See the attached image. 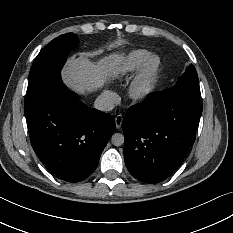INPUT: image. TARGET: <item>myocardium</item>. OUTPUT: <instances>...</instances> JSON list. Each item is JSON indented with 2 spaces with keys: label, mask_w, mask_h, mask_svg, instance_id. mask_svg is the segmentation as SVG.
<instances>
[{
  "label": "myocardium",
  "mask_w": 233,
  "mask_h": 233,
  "mask_svg": "<svg viewBox=\"0 0 233 233\" xmlns=\"http://www.w3.org/2000/svg\"><path fill=\"white\" fill-rule=\"evenodd\" d=\"M164 72V62L158 55H152L144 67L131 80L128 87L129 97L144 103L156 92Z\"/></svg>",
  "instance_id": "1"
}]
</instances>
